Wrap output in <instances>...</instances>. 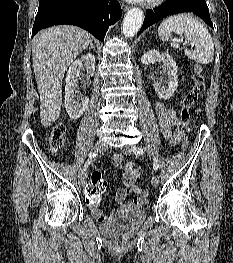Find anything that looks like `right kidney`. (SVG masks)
<instances>
[{
    "label": "right kidney",
    "instance_id": "obj_1",
    "mask_svg": "<svg viewBox=\"0 0 233 263\" xmlns=\"http://www.w3.org/2000/svg\"><path fill=\"white\" fill-rule=\"evenodd\" d=\"M81 69H85L89 76L95 74V56L93 54L87 53L75 60L66 75L65 108L69 117L74 120L82 116L89 102L88 97H82L76 91Z\"/></svg>",
    "mask_w": 233,
    "mask_h": 263
}]
</instances>
